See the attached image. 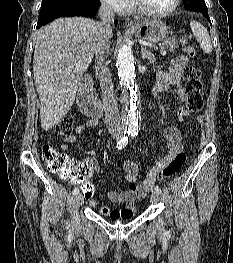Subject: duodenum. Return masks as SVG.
Masks as SVG:
<instances>
[{
	"mask_svg": "<svg viewBox=\"0 0 233 263\" xmlns=\"http://www.w3.org/2000/svg\"><path fill=\"white\" fill-rule=\"evenodd\" d=\"M99 97L100 94L96 93L95 89H92L91 76H86L82 80L77 94V103L82 114L92 118L100 117L103 113L101 103L104 102V99Z\"/></svg>",
	"mask_w": 233,
	"mask_h": 263,
	"instance_id": "410a0bca",
	"label": "duodenum"
}]
</instances>
